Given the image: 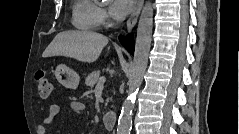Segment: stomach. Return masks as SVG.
I'll return each instance as SVG.
<instances>
[{"instance_id":"stomach-1","label":"stomach","mask_w":239,"mask_h":134,"mask_svg":"<svg viewBox=\"0 0 239 134\" xmlns=\"http://www.w3.org/2000/svg\"><path fill=\"white\" fill-rule=\"evenodd\" d=\"M55 77L62 85L69 88H77L80 81V77L77 72L64 64L57 66L55 70Z\"/></svg>"}]
</instances>
